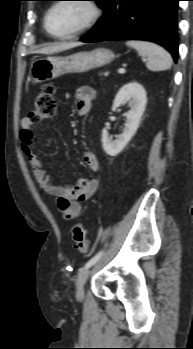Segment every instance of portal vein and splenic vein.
I'll list each match as a JSON object with an SVG mask.
<instances>
[{
  "label": "portal vein and splenic vein",
  "instance_id": "18ae733b",
  "mask_svg": "<svg viewBox=\"0 0 193 349\" xmlns=\"http://www.w3.org/2000/svg\"><path fill=\"white\" fill-rule=\"evenodd\" d=\"M118 73H125V69L124 68H119L118 69Z\"/></svg>",
  "mask_w": 193,
  "mask_h": 349
}]
</instances>
